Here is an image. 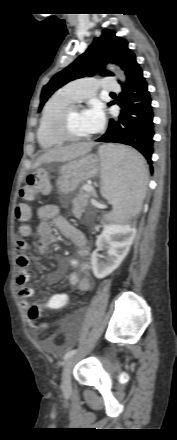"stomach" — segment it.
<instances>
[{
    "instance_id": "0dacf381",
    "label": "stomach",
    "mask_w": 177,
    "mask_h": 440,
    "mask_svg": "<svg viewBox=\"0 0 177 440\" xmlns=\"http://www.w3.org/2000/svg\"><path fill=\"white\" fill-rule=\"evenodd\" d=\"M102 170V160L93 154L83 155L69 161L59 170L56 182L58 192L69 194L75 191L83 182L95 177ZM37 169L34 173H38Z\"/></svg>"
}]
</instances>
